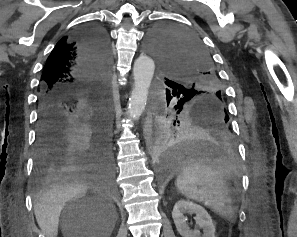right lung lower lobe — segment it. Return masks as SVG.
Returning a JSON list of instances; mask_svg holds the SVG:
<instances>
[{"mask_svg": "<svg viewBox=\"0 0 297 237\" xmlns=\"http://www.w3.org/2000/svg\"><path fill=\"white\" fill-rule=\"evenodd\" d=\"M81 71L92 79V88L77 99L60 90L41 93L38 105L35 176L50 179L71 173L110 176L114 158L107 129L106 76L110 43L99 25L77 32Z\"/></svg>", "mask_w": 297, "mask_h": 237, "instance_id": "98d812e1", "label": "right lung lower lobe"}]
</instances>
